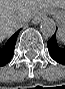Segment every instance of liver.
I'll return each instance as SVG.
<instances>
[{"label":"liver","instance_id":"6515ba94","mask_svg":"<svg viewBox=\"0 0 65 89\" xmlns=\"http://www.w3.org/2000/svg\"><path fill=\"white\" fill-rule=\"evenodd\" d=\"M63 1L57 0H0V38L4 40L17 29L22 18L30 20L40 11L63 7Z\"/></svg>","mask_w":65,"mask_h":89}]
</instances>
